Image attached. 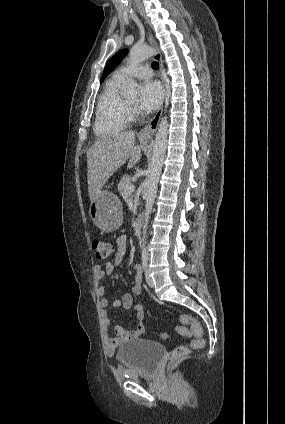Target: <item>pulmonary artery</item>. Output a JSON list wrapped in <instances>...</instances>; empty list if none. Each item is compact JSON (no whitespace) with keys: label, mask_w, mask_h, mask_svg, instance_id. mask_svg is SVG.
I'll list each match as a JSON object with an SVG mask.
<instances>
[{"label":"pulmonary artery","mask_w":285,"mask_h":424,"mask_svg":"<svg viewBox=\"0 0 285 424\" xmlns=\"http://www.w3.org/2000/svg\"><path fill=\"white\" fill-rule=\"evenodd\" d=\"M116 75L123 79L130 76L148 79L152 76V70L147 66H124L117 70Z\"/></svg>","instance_id":"pulmonary-artery-1"}]
</instances>
